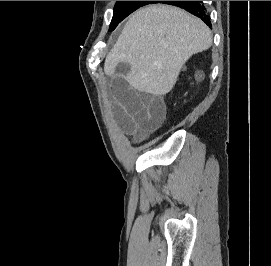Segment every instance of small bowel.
Segmentation results:
<instances>
[{"label":"small bowel","mask_w":271,"mask_h":266,"mask_svg":"<svg viewBox=\"0 0 271 266\" xmlns=\"http://www.w3.org/2000/svg\"><path fill=\"white\" fill-rule=\"evenodd\" d=\"M132 68L122 63L112 69L111 106L120 126L136 140L161 124L165 118V103L161 96L144 94L132 84Z\"/></svg>","instance_id":"small-bowel-1"}]
</instances>
